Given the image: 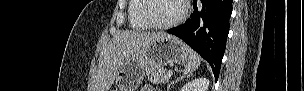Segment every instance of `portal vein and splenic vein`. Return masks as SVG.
Segmentation results:
<instances>
[{
    "label": "portal vein and splenic vein",
    "instance_id": "1",
    "mask_svg": "<svg viewBox=\"0 0 304 91\" xmlns=\"http://www.w3.org/2000/svg\"><path fill=\"white\" fill-rule=\"evenodd\" d=\"M167 75H168V78H170V77L173 75V71H172V70H169V71L167 72Z\"/></svg>",
    "mask_w": 304,
    "mask_h": 91
}]
</instances>
